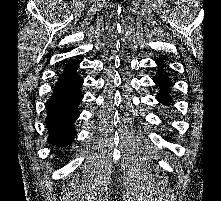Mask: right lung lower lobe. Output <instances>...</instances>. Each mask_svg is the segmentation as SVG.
<instances>
[{
	"label": "right lung lower lobe",
	"instance_id": "98d812e1",
	"mask_svg": "<svg viewBox=\"0 0 221 201\" xmlns=\"http://www.w3.org/2000/svg\"><path fill=\"white\" fill-rule=\"evenodd\" d=\"M77 68L74 62L66 65L46 102L48 142L61 147L71 144L76 136L74 122L80 115L78 104L83 99L80 91L83 79L77 74Z\"/></svg>",
	"mask_w": 221,
	"mask_h": 201
}]
</instances>
